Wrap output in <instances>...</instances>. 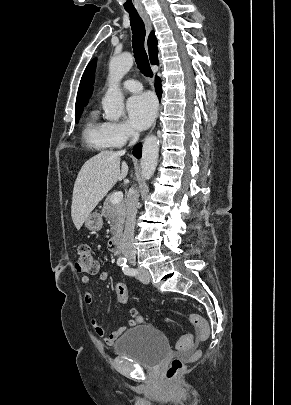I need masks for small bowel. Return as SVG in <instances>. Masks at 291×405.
I'll return each instance as SVG.
<instances>
[{
  "instance_id": "1",
  "label": "small bowel",
  "mask_w": 291,
  "mask_h": 405,
  "mask_svg": "<svg viewBox=\"0 0 291 405\" xmlns=\"http://www.w3.org/2000/svg\"><path fill=\"white\" fill-rule=\"evenodd\" d=\"M98 277L101 281H106L108 279V273L106 271H100L98 273ZM80 282L83 285H87L90 282V278L88 276H82ZM84 301L87 305L90 306L93 305L94 303L93 294L89 291L85 292ZM129 313L132 316V319L128 321V326L132 327L143 323L144 321L143 317L135 309H131ZM90 321L96 335L102 337L104 341L109 345L113 344L127 329L126 326H122L115 329L111 334L107 335L106 330L100 324V318L98 315L96 314L92 315Z\"/></svg>"
}]
</instances>
